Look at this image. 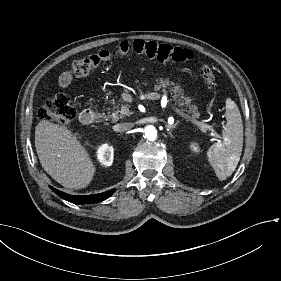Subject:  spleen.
<instances>
[{"label":"spleen","instance_id":"3e777b00","mask_svg":"<svg viewBox=\"0 0 281 281\" xmlns=\"http://www.w3.org/2000/svg\"><path fill=\"white\" fill-rule=\"evenodd\" d=\"M227 124L220 144L214 143L206 151V159L216 178L224 181L235 171L243 148V123L239 108L233 100L225 101Z\"/></svg>","mask_w":281,"mask_h":281}]
</instances>
